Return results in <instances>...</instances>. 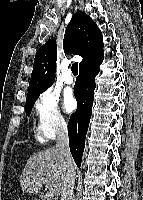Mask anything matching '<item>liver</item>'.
Returning <instances> with one entry per match:
<instances>
[{
	"label": "liver",
	"instance_id": "1",
	"mask_svg": "<svg viewBox=\"0 0 143 200\" xmlns=\"http://www.w3.org/2000/svg\"><path fill=\"white\" fill-rule=\"evenodd\" d=\"M72 169L75 172L74 163ZM67 174L65 157L56 147L47 148L29 157L20 177V186L26 193L37 194L44 184L57 200Z\"/></svg>",
	"mask_w": 143,
	"mask_h": 200
}]
</instances>
